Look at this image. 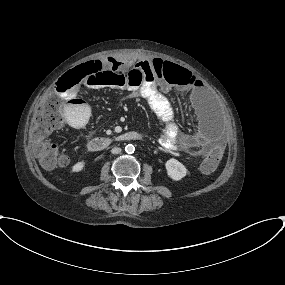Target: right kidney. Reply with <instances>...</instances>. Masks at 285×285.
Segmentation results:
<instances>
[{
    "label": "right kidney",
    "instance_id": "1",
    "mask_svg": "<svg viewBox=\"0 0 285 285\" xmlns=\"http://www.w3.org/2000/svg\"><path fill=\"white\" fill-rule=\"evenodd\" d=\"M84 161L77 162L72 166V172H80L84 169Z\"/></svg>",
    "mask_w": 285,
    "mask_h": 285
}]
</instances>
